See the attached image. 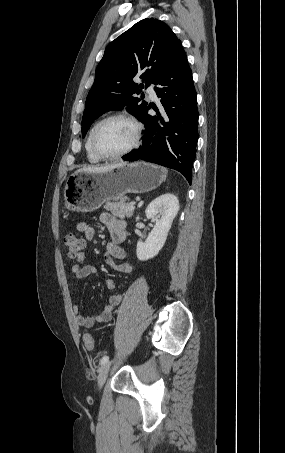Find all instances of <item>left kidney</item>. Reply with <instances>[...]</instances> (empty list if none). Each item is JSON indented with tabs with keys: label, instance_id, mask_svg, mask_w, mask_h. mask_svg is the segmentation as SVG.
Returning a JSON list of instances; mask_svg holds the SVG:
<instances>
[{
	"label": "left kidney",
	"instance_id": "5707ae66",
	"mask_svg": "<svg viewBox=\"0 0 285 453\" xmlns=\"http://www.w3.org/2000/svg\"><path fill=\"white\" fill-rule=\"evenodd\" d=\"M178 211V198L171 193L162 194L148 205L145 214L155 222V226L144 242H137L136 254L140 261L155 257L163 248Z\"/></svg>",
	"mask_w": 285,
	"mask_h": 453
}]
</instances>
